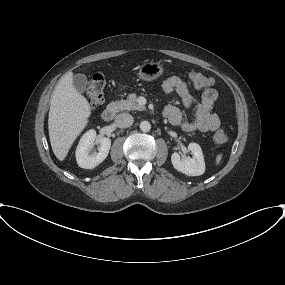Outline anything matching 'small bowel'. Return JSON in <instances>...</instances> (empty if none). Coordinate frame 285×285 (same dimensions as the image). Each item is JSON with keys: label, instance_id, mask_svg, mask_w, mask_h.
<instances>
[{"label": "small bowel", "instance_id": "obj_1", "mask_svg": "<svg viewBox=\"0 0 285 285\" xmlns=\"http://www.w3.org/2000/svg\"><path fill=\"white\" fill-rule=\"evenodd\" d=\"M163 91L167 95L173 92L177 93L183 104L192 109L193 112V119L186 121L182 111L177 106L167 105L163 114L172 125L185 131L213 132L219 129L220 119L213 112V106L218 97L215 89H205L201 100L198 102L193 97L190 86L184 80L177 76H171L164 81Z\"/></svg>", "mask_w": 285, "mask_h": 285}]
</instances>
